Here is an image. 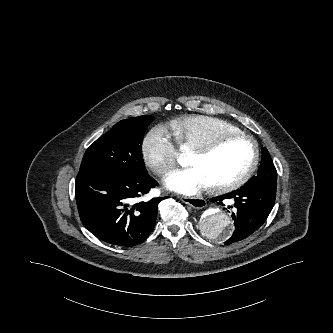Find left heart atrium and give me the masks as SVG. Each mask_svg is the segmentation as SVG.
<instances>
[{"label":"left heart atrium","mask_w":333,"mask_h":333,"mask_svg":"<svg viewBox=\"0 0 333 333\" xmlns=\"http://www.w3.org/2000/svg\"><path fill=\"white\" fill-rule=\"evenodd\" d=\"M165 186L184 195H195L210 186L205 175L196 167L176 170L167 175Z\"/></svg>","instance_id":"left-heart-atrium-1"}]
</instances>
